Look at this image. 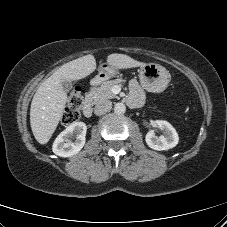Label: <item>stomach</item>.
<instances>
[{
	"instance_id": "stomach-1",
	"label": "stomach",
	"mask_w": 227,
	"mask_h": 227,
	"mask_svg": "<svg viewBox=\"0 0 227 227\" xmlns=\"http://www.w3.org/2000/svg\"><path fill=\"white\" fill-rule=\"evenodd\" d=\"M117 72V69L108 65V63L101 64L99 73L95 77V82H102ZM139 79L142 87L149 92L161 93L169 83V75L166 69L158 64H145L140 68Z\"/></svg>"
}]
</instances>
